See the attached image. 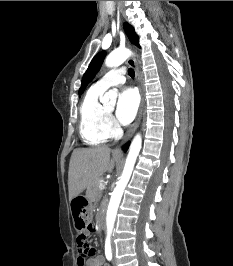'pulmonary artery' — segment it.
Here are the masks:
<instances>
[{
  "label": "pulmonary artery",
  "mask_w": 233,
  "mask_h": 266,
  "mask_svg": "<svg viewBox=\"0 0 233 266\" xmlns=\"http://www.w3.org/2000/svg\"><path fill=\"white\" fill-rule=\"evenodd\" d=\"M125 70L124 68L113 69L107 72L101 79H99L95 85L98 88L106 90L112 86H118L125 82Z\"/></svg>",
  "instance_id": "obj_1"
}]
</instances>
